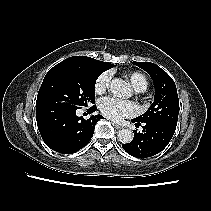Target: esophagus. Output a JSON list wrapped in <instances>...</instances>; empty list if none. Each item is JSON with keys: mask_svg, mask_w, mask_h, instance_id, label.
<instances>
[{"mask_svg": "<svg viewBox=\"0 0 211 211\" xmlns=\"http://www.w3.org/2000/svg\"><path fill=\"white\" fill-rule=\"evenodd\" d=\"M113 125H114V127H115L116 129H122V128H123L122 125L117 124V123H113Z\"/></svg>", "mask_w": 211, "mask_h": 211, "instance_id": "esophagus-1", "label": "esophagus"}]
</instances>
